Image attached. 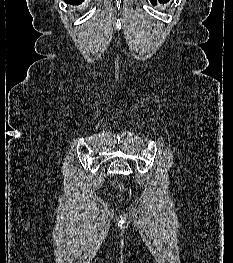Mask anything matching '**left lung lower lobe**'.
Masks as SVG:
<instances>
[{
  "label": "left lung lower lobe",
  "mask_w": 233,
  "mask_h": 263,
  "mask_svg": "<svg viewBox=\"0 0 233 263\" xmlns=\"http://www.w3.org/2000/svg\"><path fill=\"white\" fill-rule=\"evenodd\" d=\"M160 3H167L169 0H158ZM151 3L155 6L157 4V0H151Z\"/></svg>",
  "instance_id": "left-lung-lower-lobe-1"
}]
</instances>
